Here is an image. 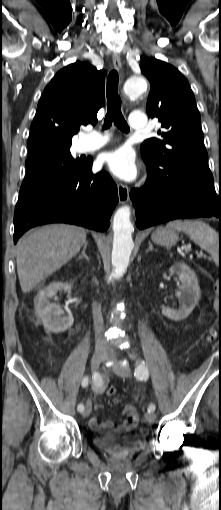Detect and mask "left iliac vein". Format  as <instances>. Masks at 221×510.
Instances as JSON below:
<instances>
[{"label":"left iliac vein","instance_id":"1","mask_svg":"<svg viewBox=\"0 0 221 510\" xmlns=\"http://www.w3.org/2000/svg\"><path fill=\"white\" fill-rule=\"evenodd\" d=\"M109 357L114 358L113 355H110ZM112 369L120 377L129 378L131 376V370L128 366H123L119 363H115L112 366ZM144 417L148 423H153L156 420V415L154 412H146Z\"/></svg>","mask_w":221,"mask_h":510}]
</instances>
